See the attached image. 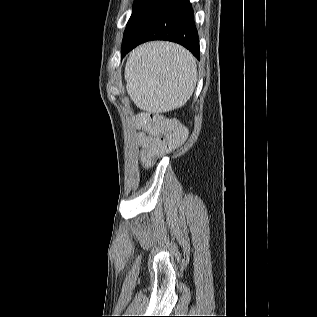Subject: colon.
Returning <instances> with one entry per match:
<instances>
[{"instance_id": "colon-1", "label": "colon", "mask_w": 317, "mask_h": 317, "mask_svg": "<svg viewBox=\"0 0 317 317\" xmlns=\"http://www.w3.org/2000/svg\"><path fill=\"white\" fill-rule=\"evenodd\" d=\"M136 124L138 128L154 137L149 150L141 155V162L145 166L178 148L186 138L185 128L176 119L160 114L141 113L137 117Z\"/></svg>"}]
</instances>
